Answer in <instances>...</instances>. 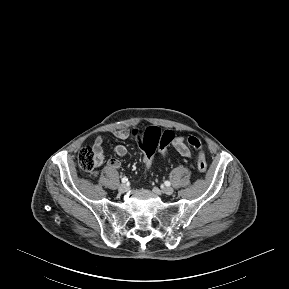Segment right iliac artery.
Masks as SVG:
<instances>
[{
	"label": "right iliac artery",
	"instance_id": "obj_1",
	"mask_svg": "<svg viewBox=\"0 0 289 289\" xmlns=\"http://www.w3.org/2000/svg\"><path fill=\"white\" fill-rule=\"evenodd\" d=\"M127 181H128V179H127L126 177H123V178H122V182H123V183H126Z\"/></svg>",
	"mask_w": 289,
	"mask_h": 289
}]
</instances>
